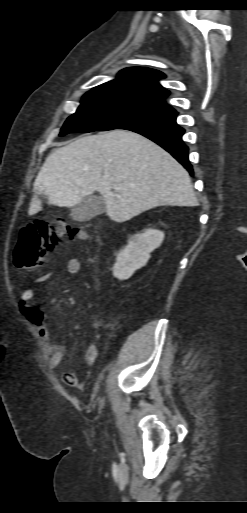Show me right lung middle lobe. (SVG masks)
<instances>
[{
  "mask_svg": "<svg viewBox=\"0 0 247 513\" xmlns=\"http://www.w3.org/2000/svg\"><path fill=\"white\" fill-rule=\"evenodd\" d=\"M175 111L140 96L111 88H94L84 94L76 113L64 123L60 135L121 129L124 125Z\"/></svg>",
  "mask_w": 247,
  "mask_h": 513,
  "instance_id": "obj_1",
  "label": "right lung middle lobe"
}]
</instances>
